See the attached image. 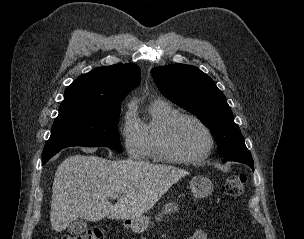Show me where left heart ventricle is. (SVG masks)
Instances as JSON below:
<instances>
[{
    "label": "left heart ventricle",
    "instance_id": "1",
    "mask_svg": "<svg viewBox=\"0 0 304 239\" xmlns=\"http://www.w3.org/2000/svg\"><path fill=\"white\" fill-rule=\"evenodd\" d=\"M172 142L179 153L191 156L201 153L206 148L207 137L197 123L185 119L174 129Z\"/></svg>",
    "mask_w": 304,
    "mask_h": 239
}]
</instances>
